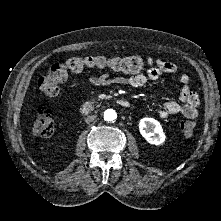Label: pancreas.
Wrapping results in <instances>:
<instances>
[{
    "label": "pancreas",
    "instance_id": "obj_1",
    "mask_svg": "<svg viewBox=\"0 0 221 221\" xmlns=\"http://www.w3.org/2000/svg\"><path fill=\"white\" fill-rule=\"evenodd\" d=\"M109 98H111V96L110 95H105V94H100V95H98V100H103V99H109Z\"/></svg>",
    "mask_w": 221,
    "mask_h": 221
}]
</instances>
